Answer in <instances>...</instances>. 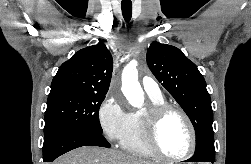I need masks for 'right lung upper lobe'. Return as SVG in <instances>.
I'll return each mask as SVG.
<instances>
[{"label":"right lung upper lobe","instance_id":"right-lung-upper-lobe-1","mask_svg":"<svg viewBox=\"0 0 251 164\" xmlns=\"http://www.w3.org/2000/svg\"><path fill=\"white\" fill-rule=\"evenodd\" d=\"M113 60L104 43L76 52L64 62L51 83V92L75 91L106 94L112 76Z\"/></svg>","mask_w":251,"mask_h":164}]
</instances>
